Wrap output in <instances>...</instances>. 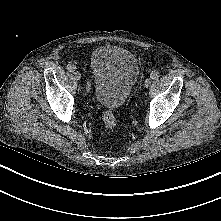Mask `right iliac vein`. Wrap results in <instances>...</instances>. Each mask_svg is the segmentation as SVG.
Returning <instances> with one entry per match:
<instances>
[{
  "label": "right iliac vein",
  "mask_w": 221,
  "mask_h": 221,
  "mask_svg": "<svg viewBox=\"0 0 221 221\" xmlns=\"http://www.w3.org/2000/svg\"><path fill=\"white\" fill-rule=\"evenodd\" d=\"M73 74H74V77H75L77 80H80V79H81V74H80L78 71H75Z\"/></svg>",
  "instance_id": "1"
}]
</instances>
